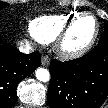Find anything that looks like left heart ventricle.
Instances as JSON below:
<instances>
[{"label": "left heart ventricle", "mask_w": 108, "mask_h": 108, "mask_svg": "<svg viewBox=\"0 0 108 108\" xmlns=\"http://www.w3.org/2000/svg\"><path fill=\"white\" fill-rule=\"evenodd\" d=\"M94 32V21L90 17L80 20L70 33L67 45L70 48H77L89 41Z\"/></svg>", "instance_id": "b2bd125f"}]
</instances>
